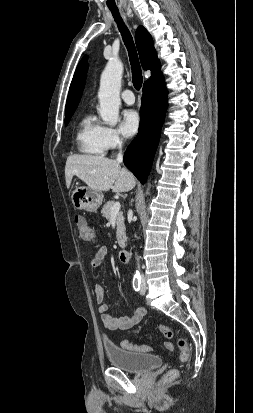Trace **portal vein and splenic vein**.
Instances as JSON below:
<instances>
[{"label":"portal vein and splenic vein","instance_id":"18ae733b","mask_svg":"<svg viewBox=\"0 0 253 413\" xmlns=\"http://www.w3.org/2000/svg\"><path fill=\"white\" fill-rule=\"evenodd\" d=\"M120 207H121L120 203H119V202H115L114 205H113V207H112V209H111V214H112V215H116V214L119 212Z\"/></svg>","mask_w":253,"mask_h":413}]
</instances>
